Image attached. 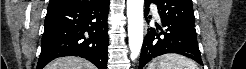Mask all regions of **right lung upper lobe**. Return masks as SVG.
I'll return each instance as SVG.
<instances>
[{
  "label": "right lung upper lobe",
  "instance_id": "obj_1",
  "mask_svg": "<svg viewBox=\"0 0 246 69\" xmlns=\"http://www.w3.org/2000/svg\"><path fill=\"white\" fill-rule=\"evenodd\" d=\"M103 0H50L49 6H56V5H91L99 3Z\"/></svg>",
  "mask_w": 246,
  "mask_h": 69
}]
</instances>
